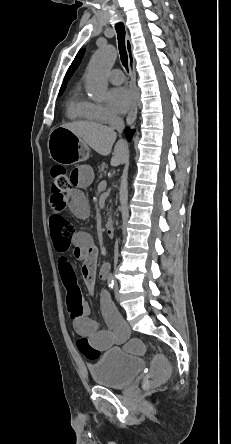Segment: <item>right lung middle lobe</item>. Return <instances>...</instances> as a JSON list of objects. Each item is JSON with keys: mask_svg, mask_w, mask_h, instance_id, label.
Listing matches in <instances>:
<instances>
[{"mask_svg": "<svg viewBox=\"0 0 231 444\" xmlns=\"http://www.w3.org/2000/svg\"><path fill=\"white\" fill-rule=\"evenodd\" d=\"M64 89H65V88H61V89H60V91H59V94H60V95L63 93Z\"/></svg>", "mask_w": 231, "mask_h": 444, "instance_id": "obj_1", "label": "right lung middle lobe"}]
</instances>
